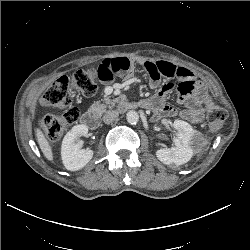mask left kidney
Wrapping results in <instances>:
<instances>
[{"instance_id": "obj_1", "label": "left kidney", "mask_w": 250, "mask_h": 250, "mask_svg": "<svg viewBox=\"0 0 250 250\" xmlns=\"http://www.w3.org/2000/svg\"><path fill=\"white\" fill-rule=\"evenodd\" d=\"M173 127L178 131L174 146L157 150L156 156L166 165L179 166L187 163L192 158L196 133L190 124L182 120H175Z\"/></svg>"}]
</instances>
